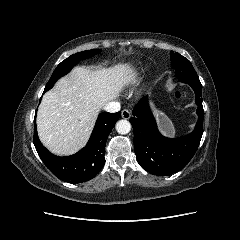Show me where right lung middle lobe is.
<instances>
[{
    "instance_id": "1",
    "label": "right lung middle lobe",
    "mask_w": 240,
    "mask_h": 240,
    "mask_svg": "<svg viewBox=\"0 0 240 240\" xmlns=\"http://www.w3.org/2000/svg\"><path fill=\"white\" fill-rule=\"evenodd\" d=\"M99 49L82 51L76 54L71 55L67 59L63 60L54 70L51 78L49 79L44 92L51 89L54 83L65 74L69 73L70 70L80 61L92 57L93 55L99 53Z\"/></svg>"
}]
</instances>
